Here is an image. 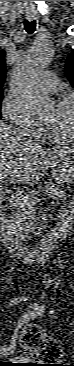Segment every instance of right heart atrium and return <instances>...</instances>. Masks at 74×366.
I'll use <instances>...</instances> for the list:
<instances>
[{
  "mask_svg": "<svg viewBox=\"0 0 74 366\" xmlns=\"http://www.w3.org/2000/svg\"><path fill=\"white\" fill-rule=\"evenodd\" d=\"M1 113L10 125L21 128L29 135L36 136L39 134L40 129L28 118L20 100L13 94L9 93L4 98Z\"/></svg>",
  "mask_w": 74,
  "mask_h": 366,
  "instance_id": "right-heart-atrium-1",
  "label": "right heart atrium"
}]
</instances>
